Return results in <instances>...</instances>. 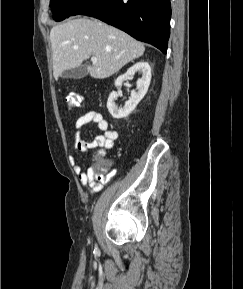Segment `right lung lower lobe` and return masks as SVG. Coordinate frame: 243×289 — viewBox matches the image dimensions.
<instances>
[{
	"label": "right lung lower lobe",
	"instance_id": "98d812e1",
	"mask_svg": "<svg viewBox=\"0 0 243 289\" xmlns=\"http://www.w3.org/2000/svg\"><path fill=\"white\" fill-rule=\"evenodd\" d=\"M73 15H87L167 52L170 0H86Z\"/></svg>",
	"mask_w": 243,
	"mask_h": 289
}]
</instances>
